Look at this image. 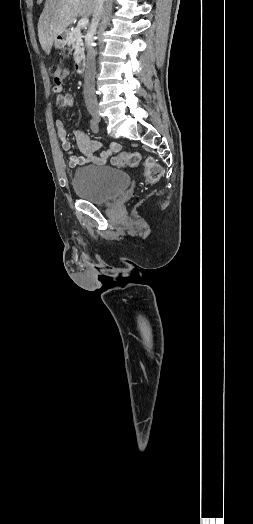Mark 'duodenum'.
<instances>
[{
	"instance_id": "obj_1",
	"label": "duodenum",
	"mask_w": 253,
	"mask_h": 524,
	"mask_svg": "<svg viewBox=\"0 0 253 524\" xmlns=\"http://www.w3.org/2000/svg\"><path fill=\"white\" fill-rule=\"evenodd\" d=\"M75 69L77 73H83L84 72V60L82 58H78L75 61Z\"/></svg>"
}]
</instances>
